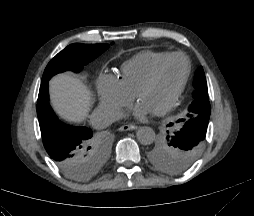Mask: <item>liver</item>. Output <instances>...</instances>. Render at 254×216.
Listing matches in <instances>:
<instances>
[{
    "label": "liver",
    "mask_w": 254,
    "mask_h": 216,
    "mask_svg": "<svg viewBox=\"0 0 254 216\" xmlns=\"http://www.w3.org/2000/svg\"><path fill=\"white\" fill-rule=\"evenodd\" d=\"M50 95L52 107L64 120L79 123L88 116L91 94L79 78L69 73L56 75L50 81Z\"/></svg>",
    "instance_id": "obj_1"
}]
</instances>
